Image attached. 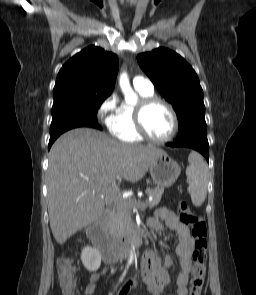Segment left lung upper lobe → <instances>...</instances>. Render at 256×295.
Segmentation results:
<instances>
[{
  "label": "left lung upper lobe",
  "instance_id": "1",
  "mask_svg": "<svg viewBox=\"0 0 256 295\" xmlns=\"http://www.w3.org/2000/svg\"><path fill=\"white\" fill-rule=\"evenodd\" d=\"M137 60L160 94L173 105L179 122L176 140L207 137L203 90L193 68L167 48L139 54Z\"/></svg>",
  "mask_w": 256,
  "mask_h": 295
}]
</instances>
